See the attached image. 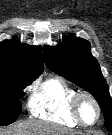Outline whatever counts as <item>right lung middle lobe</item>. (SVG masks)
<instances>
[{
	"label": "right lung middle lobe",
	"instance_id": "obj_1",
	"mask_svg": "<svg viewBox=\"0 0 112 135\" xmlns=\"http://www.w3.org/2000/svg\"><path fill=\"white\" fill-rule=\"evenodd\" d=\"M33 80L18 74L0 78V125L15 122L22 110L19 99L25 95L23 89Z\"/></svg>",
	"mask_w": 112,
	"mask_h": 135
}]
</instances>
